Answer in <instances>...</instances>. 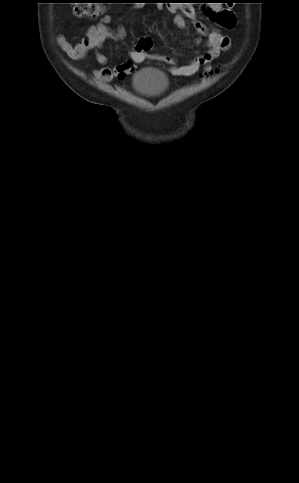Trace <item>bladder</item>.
<instances>
[{"label":"bladder","instance_id":"1","mask_svg":"<svg viewBox=\"0 0 299 483\" xmlns=\"http://www.w3.org/2000/svg\"><path fill=\"white\" fill-rule=\"evenodd\" d=\"M168 81L165 76L155 70L146 69L138 72L134 77L135 90L142 95H152L165 90Z\"/></svg>","mask_w":299,"mask_h":483}]
</instances>
